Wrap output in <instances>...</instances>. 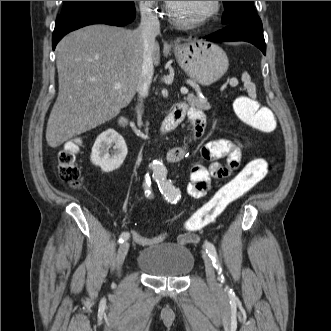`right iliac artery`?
<instances>
[{
    "mask_svg": "<svg viewBox=\"0 0 331 331\" xmlns=\"http://www.w3.org/2000/svg\"><path fill=\"white\" fill-rule=\"evenodd\" d=\"M143 186H144V189H145L146 196L150 197L151 196V180H150V177H149L148 173L145 176ZM129 237H130V234L128 232H123L120 235L118 242L123 243L124 241L129 239Z\"/></svg>",
    "mask_w": 331,
    "mask_h": 331,
    "instance_id": "1",
    "label": "right iliac artery"
}]
</instances>
